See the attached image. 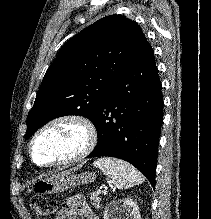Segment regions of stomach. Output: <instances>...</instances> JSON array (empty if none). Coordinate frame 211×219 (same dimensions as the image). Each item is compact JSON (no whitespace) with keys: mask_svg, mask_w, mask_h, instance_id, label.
I'll list each match as a JSON object with an SVG mask.
<instances>
[{"mask_svg":"<svg viewBox=\"0 0 211 219\" xmlns=\"http://www.w3.org/2000/svg\"><path fill=\"white\" fill-rule=\"evenodd\" d=\"M96 179L94 172H84L72 174L71 172H61L49 178L37 181L32 185V191L38 194H55L81 184L93 182Z\"/></svg>","mask_w":211,"mask_h":219,"instance_id":"obj_1","label":"stomach"}]
</instances>
